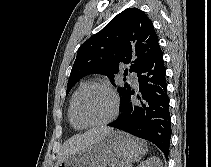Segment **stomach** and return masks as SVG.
<instances>
[{"label": "stomach", "mask_w": 211, "mask_h": 167, "mask_svg": "<svg viewBox=\"0 0 211 167\" xmlns=\"http://www.w3.org/2000/svg\"><path fill=\"white\" fill-rule=\"evenodd\" d=\"M146 153V143L121 131H112L90 148L76 153L57 167L126 166L140 160Z\"/></svg>", "instance_id": "1"}]
</instances>
